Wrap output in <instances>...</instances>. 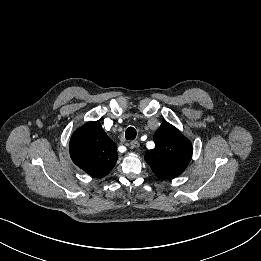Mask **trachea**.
<instances>
[{"label":"trachea","instance_id":"3493384b","mask_svg":"<svg viewBox=\"0 0 261 261\" xmlns=\"http://www.w3.org/2000/svg\"><path fill=\"white\" fill-rule=\"evenodd\" d=\"M136 130L133 127H128L125 131V138L127 140H134L136 138Z\"/></svg>","mask_w":261,"mask_h":261}]
</instances>
